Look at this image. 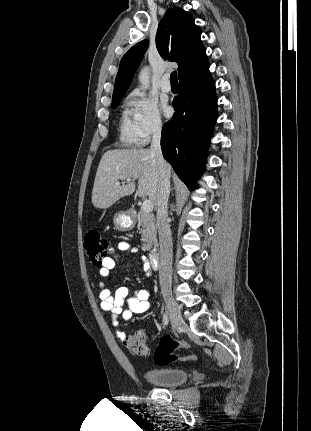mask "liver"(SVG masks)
Returning a JSON list of instances; mask_svg holds the SVG:
<instances>
[{
	"mask_svg": "<svg viewBox=\"0 0 311 431\" xmlns=\"http://www.w3.org/2000/svg\"><path fill=\"white\" fill-rule=\"evenodd\" d=\"M168 180L172 172L170 164L165 162ZM121 180L122 186L116 184ZM130 180V182H125ZM137 196L146 198L156 206L158 194V164L151 150H108L103 154L97 168L91 202L97 210H105L113 204H120L121 198L131 196L136 190Z\"/></svg>",
	"mask_w": 311,
	"mask_h": 431,
	"instance_id": "obj_1",
	"label": "liver"
}]
</instances>
